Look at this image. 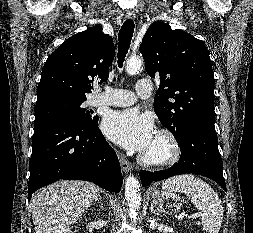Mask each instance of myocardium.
<instances>
[{
  "mask_svg": "<svg viewBox=\"0 0 253 233\" xmlns=\"http://www.w3.org/2000/svg\"><path fill=\"white\" fill-rule=\"evenodd\" d=\"M155 137L163 144V151L142 153L141 163L152 167H166L176 163L181 156V146L176 135L169 129H160Z\"/></svg>",
  "mask_w": 253,
  "mask_h": 233,
  "instance_id": "1",
  "label": "myocardium"
}]
</instances>
